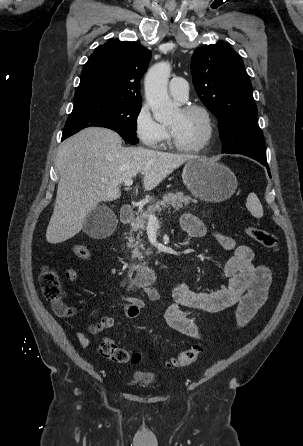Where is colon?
<instances>
[{
  "mask_svg": "<svg viewBox=\"0 0 303 446\" xmlns=\"http://www.w3.org/2000/svg\"><path fill=\"white\" fill-rule=\"evenodd\" d=\"M245 233L254 242L267 249L277 250L278 248L277 238L261 228L248 226L245 228ZM73 251L78 258L88 259L90 257V250L83 244H77ZM73 278L74 274L72 272H67L65 277H63L54 269L45 266L40 274V284L45 297L53 304L61 303L64 296L63 281L64 279L72 280ZM98 350L102 357L116 363L131 361L136 364L141 361L139 353L130 354L110 338L103 339L99 344ZM202 352L203 345L197 342L184 352L169 359L166 364L168 367L186 366L197 361Z\"/></svg>",
  "mask_w": 303,
  "mask_h": 446,
  "instance_id": "obj_1",
  "label": "colon"
}]
</instances>
